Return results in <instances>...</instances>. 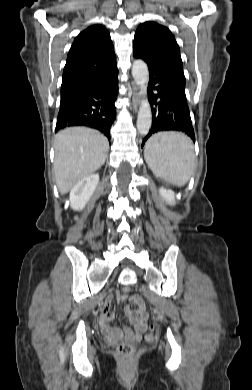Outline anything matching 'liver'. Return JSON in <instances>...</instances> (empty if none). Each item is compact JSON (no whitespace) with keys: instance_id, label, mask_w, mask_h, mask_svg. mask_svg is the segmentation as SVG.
Here are the masks:
<instances>
[{"instance_id":"6515ba94","label":"liver","mask_w":252,"mask_h":390,"mask_svg":"<svg viewBox=\"0 0 252 390\" xmlns=\"http://www.w3.org/2000/svg\"><path fill=\"white\" fill-rule=\"evenodd\" d=\"M54 149L56 183L59 192L66 194L105 163L109 142L97 130L71 127L56 134Z\"/></svg>"}]
</instances>
